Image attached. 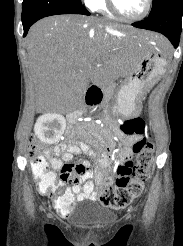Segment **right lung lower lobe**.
<instances>
[{"instance_id": "1", "label": "right lung lower lobe", "mask_w": 183, "mask_h": 246, "mask_svg": "<svg viewBox=\"0 0 183 246\" xmlns=\"http://www.w3.org/2000/svg\"><path fill=\"white\" fill-rule=\"evenodd\" d=\"M59 14H83L90 15L87 9L78 1L64 2L49 7H37L22 11V24L24 28V36L27 34L30 26L37 20Z\"/></svg>"}]
</instances>
